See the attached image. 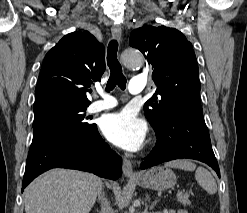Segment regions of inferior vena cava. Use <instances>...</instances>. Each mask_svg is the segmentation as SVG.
Listing matches in <instances>:
<instances>
[{
    "label": "inferior vena cava",
    "mask_w": 247,
    "mask_h": 213,
    "mask_svg": "<svg viewBox=\"0 0 247 213\" xmlns=\"http://www.w3.org/2000/svg\"><path fill=\"white\" fill-rule=\"evenodd\" d=\"M98 197L101 201V213H114L107 198H105L104 193L102 192V188L99 189Z\"/></svg>",
    "instance_id": "obj_1"
}]
</instances>
